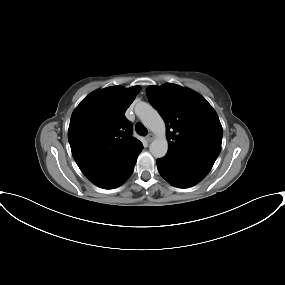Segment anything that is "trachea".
<instances>
[{"mask_svg": "<svg viewBox=\"0 0 285 285\" xmlns=\"http://www.w3.org/2000/svg\"><path fill=\"white\" fill-rule=\"evenodd\" d=\"M135 130L141 136H145L148 133L147 128L142 123H137Z\"/></svg>", "mask_w": 285, "mask_h": 285, "instance_id": "obj_1", "label": "trachea"}]
</instances>
